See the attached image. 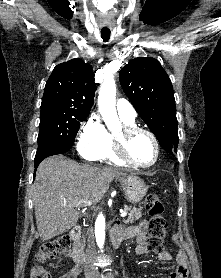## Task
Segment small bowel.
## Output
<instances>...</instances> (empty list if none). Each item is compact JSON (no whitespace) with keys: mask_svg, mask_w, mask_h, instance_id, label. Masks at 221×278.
<instances>
[{"mask_svg":"<svg viewBox=\"0 0 221 278\" xmlns=\"http://www.w3.org/2000/svg\"><path fill=\"white\" fill-rule=\"evenodd\" d=\"M147 227L148 222L143 220L137 226L126 229L127 236L129 238H134L137 242L135 252L138 255H145L148 253L146 246ZM157 257L162 262H169L171 260V255L164 250L160 253H157ZM80 272L81 270L79 268L74 267L60 278H76ZM161 278H187V265L184 254H177L175 271L169 276H163Z\"/></svg>","mask_w":221,"mask_h":278,"instance_id":"1","label":"small bowel"}]
</instances>
